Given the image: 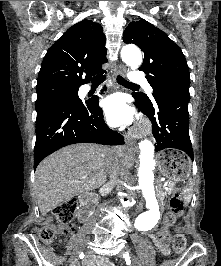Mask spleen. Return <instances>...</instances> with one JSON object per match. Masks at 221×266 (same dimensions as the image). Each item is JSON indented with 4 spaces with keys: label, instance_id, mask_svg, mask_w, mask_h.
I'll use <instances>...</instances> for the list:
<instances>
[{
    "label": "spleen",
    "instance_id": "obj_1",
    "mask_svg": "<svg viewBox=\"0 0 221 266\" xmlns=\"http://www.w3.org/2000/svg\"><path fill=\"white\" fill-rule=\"evenodd\" d=\"M191 191V188L190 187H186L185 189H184V193H186L187 194V196H186V201L187 202H189L190 201V195H189V192Z\"/></svg>",
    "mask_w": 221,
    "mask_h": 266
}]
</instances>
